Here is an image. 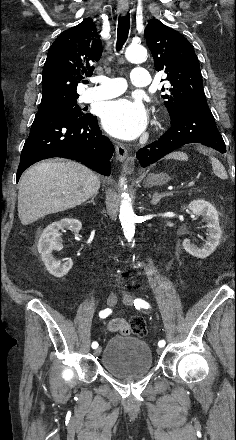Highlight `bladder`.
I'll return each mask as SVG.
<instances>
[{
    "label": "bladder",
    "mask_w": 236,
    "mask_h": 440,
    "mask_svg": "<svg viewBox=\"0 0 236 440\" xmlns=\"http://www.w3.org/2000/svg\"><path fill=\"white\" fill-rule=\"evenodd\" d=\"M101 361L105 370L118 378L143 375L153 368L149 345L129 336L112 337L101 353Z\"/></svg>",
    "instance_id": "obj_1"
}]
</instances>
